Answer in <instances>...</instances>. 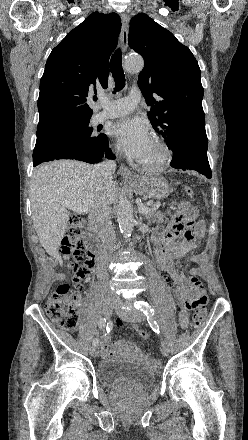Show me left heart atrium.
<instances>
[{
	"label": "left heart atrium",
	"mask_w": 248,
	"mask_h": 440,
	"mask_svg": "<svg viewBox=\"0 0 248 440\" xmlns=\"http://www.w3.org/2000/svg\"><path fill=\"white\" fill-rule=\"evenodd\" d=\"M111 135L120 149L137 161L143 160L152 145L148 127L139 118H125L116 122L112 126Z\"/></svg>",
	"instance_id": "1"
}]
</instances>
